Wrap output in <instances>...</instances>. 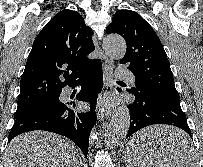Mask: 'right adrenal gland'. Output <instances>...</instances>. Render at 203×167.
<instances>
[{
	"label": "right adrenal gland",
	"instance_id": "2a0ac1e0",
	"mask_svg": "<svg viewBox=\"0 0 203 167\" xmlns=\"http://www.w3.org/2000/svg\"><path fill=\"white\" fill-rule=\"evenodd\" d=\"M81 166H82V161H80V163H79L78 167H81Z\"/></svg>",
	"mask_w": 203,
	"mask_h": 167
}]
</instances>
